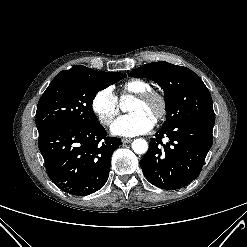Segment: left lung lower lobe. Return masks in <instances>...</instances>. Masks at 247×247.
<instances>
[{"label": "left lung lower lobe", "instance_id": "left-lung-lower-lobe-1", "mask_svg": "<svg viewBox=\"0 0 247 247\" xmlns=\"http://www.w3.org/2000/svg\"><path fill=\"white\" fill-rule=\"evenodd\" d=\"M212 131L213 127L193 121L162 127L140 161L147 180L159 188L172 190L196 179L212 146ZM163 137H168L169 142L163 144Z\"/></svg>", "mask_w": 247, "mask_h": 247}]
</instances>
